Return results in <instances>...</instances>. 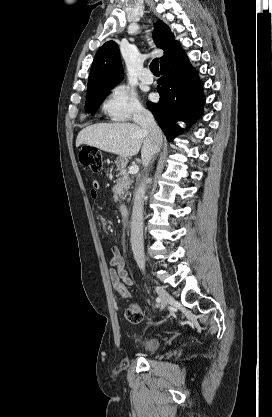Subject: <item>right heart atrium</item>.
I'll list each match as a JSON object with an SVG mask.
<instances>
[{"label":"right heart atrium","instance_id":"obj_1","mask_svg":"<svg viewBox=\"0 0 272 417\" xmlns=\"http://www.w3.org/2000/svg\"><path fill=\"white\" fill-rule=\"evenodd\" d=\"M104 112L114 121H129L142 116L145 109L136 92L128 85L114 86L103 103Z\"/></svg>","mask_w":272,"mask_h":417}]
</instances>
